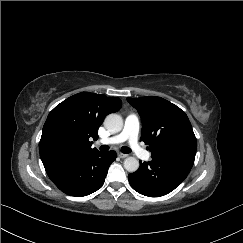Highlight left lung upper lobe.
<instances>
[{"label":"left lung upper lobe","instance_id":"5c2ea615","mask_svg":"<svg viewBox=\"0 0 243 243\" xmlns=\"http://www.w3.org/2000/svg\"><path fill=\"white\" fill-rule=\"evenodd\" d=\"M142 119L141 141L152 158L169 153H196V137L187 115L171 102L156 96L127 98Z\"/></svg>","mask_w":243,"mask_h":243}]
</instances>
